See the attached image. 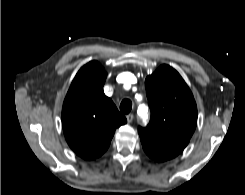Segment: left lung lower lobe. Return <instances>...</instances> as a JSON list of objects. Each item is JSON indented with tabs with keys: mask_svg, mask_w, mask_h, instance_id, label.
Here are the masks:
<instances>
[{
	"mask_svg": "<svg viewBox=\"0 0 245 195\" xmlns=\"http://www.w3.org/2000/svg\"><path fill=\"white\" fill-rule=\"evenodd\" d=\"M141 142H142V146H143L145 153L150 158L154 159L155 161L164 162V161L170 160V159H172L178 155L175 152L161 150V149H159V148H157L151 144H148L144 141H141Z\"/></svg>",
	"mask_w": 245,
	"mask_h": 195,
	"instance_id": "1",
	"label": "left lung lower lobe"
}]
</instances>
